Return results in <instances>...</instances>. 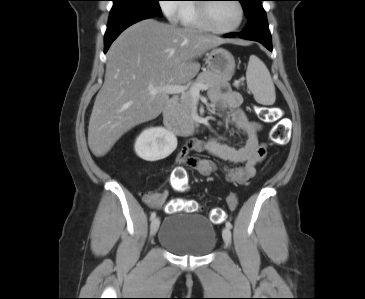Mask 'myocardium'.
<instances>
[{"instance_id": "obj_1", "label": "myocardium", "mask_w": 365, "mask_h": 299, "mask_svg": "<svg viewBox=\"0 0 365 299\" xmlns=\"http://www.w3.org/2000/svg\"><path fill=\"white\" fill-rule=\"evenodd\" d=\"M203 1H209V0H203ZM234 2L237 4V7L239 9L240 17L238 23L231 27V28H217L213 26L212 19L210 16V2H204L202 4L198 5L199 10V17L202 25L204 28L212 33L216 34H228L237 31L243 24L245 19V10L240 0H234Z\"/></svg>"}]
</instances>
